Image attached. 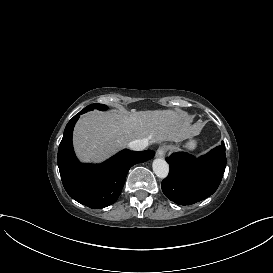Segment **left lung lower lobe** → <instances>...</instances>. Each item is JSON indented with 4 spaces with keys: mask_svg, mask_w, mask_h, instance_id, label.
I'll return each instance as SVG.
<instances>
[{
    "mask_svg": "<svg viewBox=\"0 0 273 273\" xmlns=\"http://www.w3.org/2000/svg\"><path fill=\"white\" fill-rule=\"evenodd\" d=\"M169 175L162 181V191L179 205H191L212 195L218 188L226 167L224 142L209 153L195 158L184 152L166 157Z\"/></svg>",
    "mask_w": 273,
    "mask_h": 273,
    "instance_id": "obj_1",
    "label": "left lung lower lobe"
}]
</instances>
